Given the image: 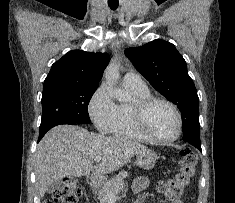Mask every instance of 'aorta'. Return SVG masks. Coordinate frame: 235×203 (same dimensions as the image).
<instances>
[{
    "label": "aorta",
    "instance_id": "1",
    "mask_svg": "<svg viewBox=\"0 0 235 203\" xmlns=\"http://www.w3.org/2000/svg\"><path fill=\"white\" fill-rule=\"evenodd\" d=\"M104 77L110 85L109 93L112 97L116 98L118 101H124L127 95L123 91L116 89L114 85L119 78V70L116 64L111 63L104 72Z\"/></svg>",
    "mask_w": 235,
    "mask_h": 203
}]
</instances>
